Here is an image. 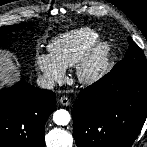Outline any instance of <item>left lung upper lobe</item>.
Here are the masks:
<instances>
[{
    "label": "left lung upper lobe",
    "mask_w": 147,
    "mask_h": 147,
    "mask_svg": "<svg viewBox=\"0 0 147 147\" xmlns=\"http://www.w3.org/2000/svg\"><path fill=\"white\" fill-rule=\"evenodd\" d=\"M129 49L123 60L115 65V69L137 68L147 71V60L140 47L129 37Z\"/></svg>",
    "instance_id": "left-lung-upper-lobe-1"
}]
</instances>
